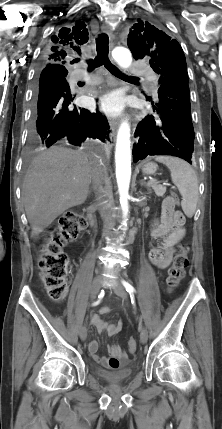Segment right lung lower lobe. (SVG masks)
Wrapping results in <instances>:
<instances>
[{
	"label": "right lung lower lobe",
	"instance_id": "98d812e1",
	"mask_svg": "<svg viewBox=\"0 0 222 429\" xmlns=\"http://www.w3.org/2000/svg\"><path fill=\"white\" fill-rule=\"evenodd\" d=\"M65 75L57 66L47 64L36 87L32 131L40 144L81 146L87 138L109 140L110 127L100 112L77 108Z\"/></svg>",
	"mask_w": 222,
	"mask_h": 429
}]
</instances>
